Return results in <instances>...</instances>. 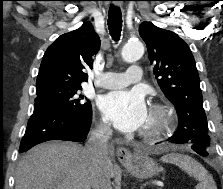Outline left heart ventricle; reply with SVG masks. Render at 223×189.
Instances as JSON below:
<instances>
[{
  "mask_svg": "<svg viewBox=\"0 0 223 189\" xmlns=\"http://www.w3.org/2000/svg\"><path fill=\"white\" fill-rule=\"evenodd\" d=\"M151 120H152V118H151L150 114H148V118H147V121H146L144 127L147 126L151 122Z\"/></svg>",
  "mask_w": 223,
  "mask_h": 189,
  "instance_id": "1",
  "label": "left heart ventricle"
}]
</instances>
